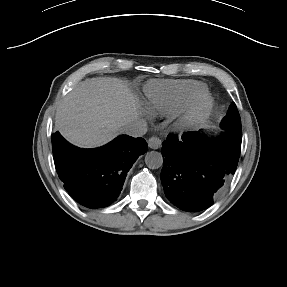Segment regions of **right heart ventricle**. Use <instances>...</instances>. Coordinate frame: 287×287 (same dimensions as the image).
Returning a JSON list of instances; mask_svg holds the SVG:
<instances>
[{
  "instance_id": "e07e8e85",
  "label": "right heart ventricle",
  "mask_w": 287,
  "mask_h": 287,
  "mask_svg": "<svg viewBox=\"0 0 287 287\" xmlns=\"http://www.w3.org/2000/svg\"><path fill=\"white\" fill-rule=\"evenodd\" d=\"M206 90V85L195 80H153L144 87L148 110L168 116L177 113L195 94Z\"/></svg>"
}]
</instances>
